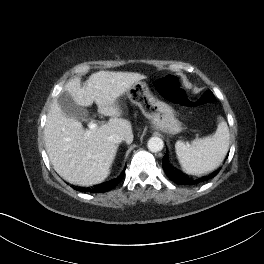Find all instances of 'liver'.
Masks as SVG:
<instances>
[{
  "instance_id": "liver-1",
  "label": "liver",
  "mask_w": 264,
  "mask_h": 264,
  "mask_svg": "<svg viewBox=\"0 0 264 264\" xmlns=\"http://www.w3.org/2000/svg\"><path fill=\"white\" fill-rule=\"evenodd\" d=\"M145 78L139 73L99 71L90 75L84 87L79 77L65 84L64 91L79 106L89 107L95 102L98 112L111 118L96 130L85 131L81 122L67 117L54 100L47 115L44 139L53 168L64 180L88 186L109 176L118 143L111 142L108 137L118 134L128 144L133 141L131 123L120 118L117 99Z\"/></svg>"
}]
</instances>
